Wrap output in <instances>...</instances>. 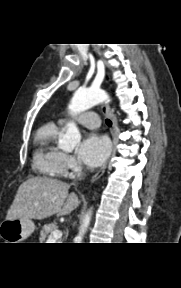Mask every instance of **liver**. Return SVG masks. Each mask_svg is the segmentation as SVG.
Returning a JSON list of instances; mask_svg holds the SVG:
<instances>
[{
    "mask_svg": "<svg viewBox=\"0 0 181 288\" xmlns=\"http://www.w3.org/2000/svg\"><path fill=\"white\" fill-rule=\"evenodd\" d=\"M70 185L56 179L31 177L23 182L7 212L6 220H42L54 214L65 216L80 205L76 193L68 194Z\"/></svg>",
    "mask_w": 181,
    "mask_h": 288,
    "instance_id": "liver-1",
    "label": "liver"
}]
</instances>
